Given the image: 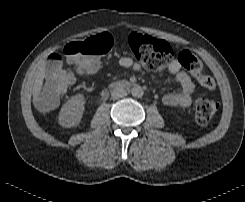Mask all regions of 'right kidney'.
I'll use <instances>...</instances> for the list:
<instances>
[{
	"instance_id": "1",
	"label": "right kidney",
	"mask_w": 245,
	"mask_h": 202,
	"mask_svg": "<svg viewBox=\"0 0 245 202\" xmlns=\"http://www.w3.org/2000/svg\"><path fill=\"white\" fill-rule=\"evenodd\" d=\"M85 98L82 94L72 96L59 113V124L66 128L77 126L84 113Z\"/></svg>"
}]
</instances>
